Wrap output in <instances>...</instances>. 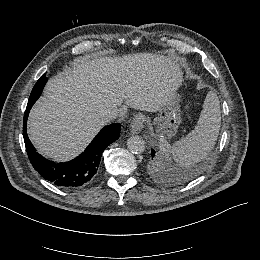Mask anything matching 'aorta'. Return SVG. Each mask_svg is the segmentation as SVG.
<instances>
[{"mask_svg": "<svg viewBox=\"0 0 260 260\" xmlns=\"http://www.w3.org/2000/svg\"><path fill=\"white\" fill-rule=\"evenodd\" d=\"M127 147L131 153L141 154L145 151L146 142L138 135L131 136L127 140Z\"/></svg>", "mask_w": 260, "mask_h": 260, "instance_id": "762f6f07", "label": "aorta"}]
</instances>
